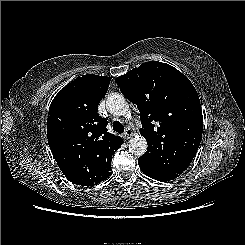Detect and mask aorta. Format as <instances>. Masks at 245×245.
<instances>
[{
	"instance_id": "1",
	"label": "aorta",
	"mask_w": 245,
	"mask_h": 245,
	"mask_svg": "<svg viewBox=\"0 0 245 245\" xmlns=\"http://www.w3.org/2000/svg\"><path fill=\"white\" fill-rule=\"evenodd\" d=\"M108 111L116 116H125L129 110V104L126 98L118 93H111L106 101ZM129 151L135 156H142L147 150V141L141 135H135L129 140Z\"/></svg>"
}]
</instances>
